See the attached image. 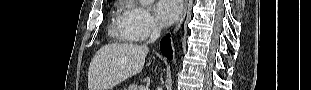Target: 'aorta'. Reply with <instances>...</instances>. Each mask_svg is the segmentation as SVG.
Masks as SVG:
<instances>
[{"label":"aorta","mask_w":311,"mask_h":90,"mask_svg":"<svg viewBox=\"0 0 311 90\" xmlns=\"http://www.w3.org/2000/svg\"><path fill=\"white\" fill-rule=\"evenodd\" d=\"M153 2H154V0H140V3H141L143 6H149V5H151Z\"/></svg>","instance_id":"762f6f07"}]
</instances>
